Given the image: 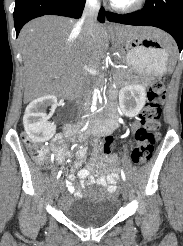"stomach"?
I'll use <instances>...</instances> for the list:
<instances>
[{"label": "stomach", "mask_w": 183, "mask_h": 246, "mask_svg": "<svg viewBox=\"0 0 183 246\" xmlns=\"http://www.w3.org/2000/svg\"><path fill=\"white\" fill-rule=\"evenodd\" d=\"M113 38L119 44L123 59L136 73L156 75L166 71L167 44L143 33L131 37H121L116 31Z\"/></svg>", "instance_id": "0dacf381"}]
</instances>
